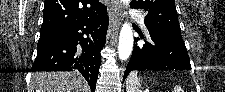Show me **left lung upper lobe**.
I'll return each mask as SVG.
<instances>
[{
    "mask_svg": "<svg viewBox=\"0 0 225 92\" xmlns=\"http://www.w3.org/2000/svg\"><path fill=\"white\" fill-rule=\"evenodd\" d=\"M131 7L145 10L146 27L167 29L181 36L174 0H132Z\"/></svg>",
    "mask_w": 225,
    "mask_h": 92,
    "instance_id": "obj_1",
    "label": "left lung upper lobe"
}]
</instances>
